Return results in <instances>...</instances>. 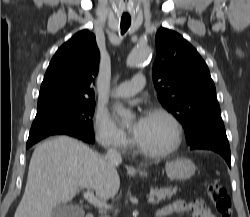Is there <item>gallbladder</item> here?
Here are the masks:
<instances>
[{
    "mask_svg": "<svg viewBox=\"0 0 250 217\" xmlns=\"http://www.w3.org/2000/svg\"><path fill=\"white\" fill-rule=\"evenodd\" d=\"M51 217H84V210L77 205L61 204L53 208Z\"/></svg>",
    "mask_w": 250,
    "mask_h": 217,
    "instance_id": "bac80fb5",
    "label": "gallbladder"
}]
</instances>
